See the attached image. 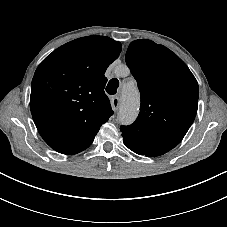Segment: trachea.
Wrapping results in <instances>:
<instances>
[{"mask_svg": "<svg viewBox=\"0 0 227 227\" xmlns=\"http://www.w3.org/2000/svg\"><path fill=\"white\" fill-rule=\"evenodd\" d=\"M119 86V80L116 78L111 79L106 87V92L110 95L116 94L117 88Z\"/></svg>", "mask_w": 227, "mask_h": 227, "instance_id": "obj_1", "label": "trachea"}]
</instances>
